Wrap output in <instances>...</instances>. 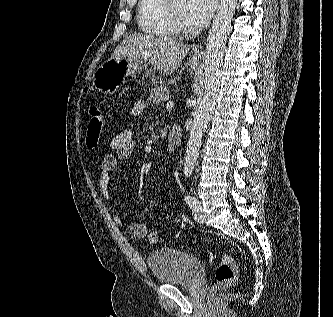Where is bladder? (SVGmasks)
I'll return each mask as SVG.
<instances>
[{
  "mask_svg": "<svg viewBox=\"0 0 333 317\" xmlns=\"http://www.w3.org/2000/svg\"><path fill=\"white\" fill-rule=\"evenodd\" d=\"M146 261L155 280L169 285L192 283L202 267L199 257L168 247L152 251Z\"/></svg>",
  "mask_w": 333,
  "mask_h": 317,
  "instance_id": "obj_1",
  "label": "bladder"
}]
</instances>
